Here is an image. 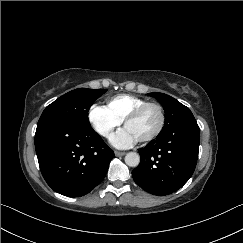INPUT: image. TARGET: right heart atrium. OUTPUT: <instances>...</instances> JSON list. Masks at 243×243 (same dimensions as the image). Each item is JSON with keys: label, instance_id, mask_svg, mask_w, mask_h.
<instances>
[{"label": "right heart atrium", "instance_id": "obj_1", "mask_svg": "<svg viewBox=\"0 0 243 243\" xmlns=\"http://www.w3.org/2000/svg\"><path fill=\"white\" fill-rule=\"evenodd\" d=\"M91 127L102 137L108 138L121 125L122 120L115 116L105 105L93 104L88 110Z\"/></svg>", "mask_w": 243, "mask_h": 243}]
</instances>
